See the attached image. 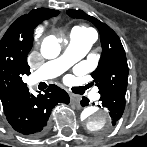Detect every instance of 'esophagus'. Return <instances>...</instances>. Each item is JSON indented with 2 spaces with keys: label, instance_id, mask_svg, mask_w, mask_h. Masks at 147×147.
Returning <instances> with one entry per match:
<instances>
[{
  "label": "esophagus",
  "instance_id": "esophagus-1",
  "mask_svg": "<svg viewBox=\"0 0 147 147\" xmlns=\"http://www.w3.org/2000/svg\"><path fill=\"white\" fill-rule=\"evenodd\" d=\"M70 100H71L72 103L78 105L79 102H80V97H79L78 95H73V94H71V95H70Z\"/></svg>",
  "mask_w": 147,
  "mask_h": 147
}]
</instances>
